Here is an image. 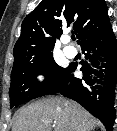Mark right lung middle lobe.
I'll list each match as a JSON object with an SVG mask.
<instances>
[{
  "instance_id": "1",
  "label": "right lung middle lobe",
  "mask_w": 117,
  "mask_h": 131,
  "mask_svg": "<svg viewBox=\"0 0 117 131\" xmlns=\"http://www.w3.org/2000/svg\"><path fill=\"white\" fill-rule=\"evenodd\" d=\"M65 72L66 68L55 63L53 54L37 62L13 68L9 90L10 108L37 97L54 94L62 87ZM39 74L47 76V79L38 82L36 77Z\"/></svg>"
}]
</instances>
